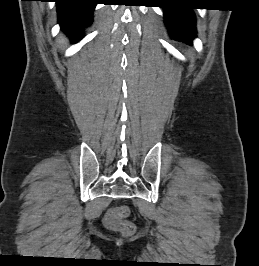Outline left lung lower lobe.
<instances>
[{
	"instance_id": "left-lung-lower-lobe-1",
	"label": "left lung lower lobe",
	"mask_w": 259,
	"mask_h": 266,
	"mask_svg": "<svg viewBox=\"0 0 259 266\" xmlns=\"http://www.w3.org/2000/svg\"><path fill=\"white\" fill-rule=\"evenodd\" d=\"M164 14L171 37L191 43L196 36L195 15L191 8L177 5L176 0H166Z\"/></svg>"
}]
</instances>
